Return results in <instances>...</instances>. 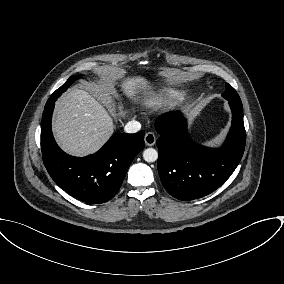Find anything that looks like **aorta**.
<instances>
[{"instance_id":"1","label":"aorta","mask_w":284,"mask_h":284,"mask_svg":"<svg viewBox=\"0 0 284 284\" xmlns=\"http://www.w3.org/2000/svg\"><path fill=\"white\" fill-rule=\"evenodd\" d=\"M143 158L146 162H155L158 159V152L154 148H147L143 152Z\"/></svg>"}]
</instances>
